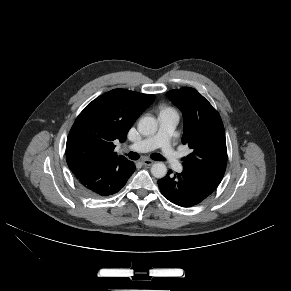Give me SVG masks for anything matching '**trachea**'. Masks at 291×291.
<instances>
[{
	"mask_svg": "<svg viewBox=\"0 0 291 291\" xmlns=\"http://www.w3.org/2000/svg\"><path fill=\"white\" fill-rule=\"evenodd\" d=\"M126 156H128V158L131 160H138L140 157L139 154L136 152H129L128 154H126ZM151 158L153 160H156V161H163L164 160L163 156L159 153H153L151 155Z\"/></svg>",
	"mask_w": 291,
	"mask_h": 291,
	"instance_id": "trachea-1",
	"label": "trachea"
}]
</instances>
